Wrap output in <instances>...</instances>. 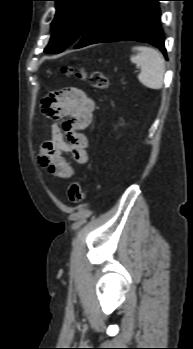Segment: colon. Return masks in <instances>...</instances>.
I'll return each instance as SVG.
<instances>
[{"label":"colon","mask_w":193,"mask_h":349,"mask_svg":"<svg viewBox=\"0 0 193 349\" xmlns=\"http://www.w3.org/2000/svg\"><path fill=\"white\" fill-rule=\"evenodd\" d=\"M62 72L64 74H75L78 78L88 80L90 85L98 90H105L108 88L109 81L105 74L102 72H93L88 74L84 69L73 67H63ZM58 94H51L44 100L45 107L52 106L57 100ZM68 198L73 203H80L84 200L85 194L82 185L79 182H72L68 187Z\"/></svg>","instance_id":"colon-1"}]
</instances>
